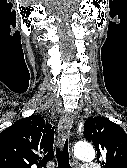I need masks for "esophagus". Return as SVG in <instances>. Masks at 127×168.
<instances>
[{
	"label": "esophagus",
	"instance_id": "34e87169",
	"mask_svg": "<svg viewBox=\"0 0 127 168\" xmlns=\"http://www.w3.org/2000/svg\"><path fill=\"white\" fill-rule=\"evenodd\" d=\"M74 117L72 114H65L61 117L58 124V140L61 143L67 136L72 124Z\"/></svg>",
	"mask_w": 127,
	"mask_h": 168
}]
</instances>
